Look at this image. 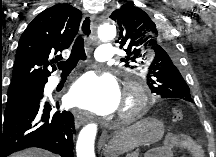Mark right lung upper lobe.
Segmentation results:
<instances>
[{"label": "right lung upper lobe", "mask_w": 216, "mask_h": 157, "mask_svg": "<svg viewBox=\"0 0 216 157\" xmlns=\"http://www.w3.org/2000/svg\"><path fill=\"white\" fill-rule=\"evenodd\" d=\"M81 16L80 10L64 3L47 8L33 19L20 37L8 92L47 82L51 74L48 65L62 57L49 58L70 47Z\"/></svg>", "instance_id": "1"}]
</instances>
